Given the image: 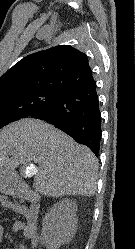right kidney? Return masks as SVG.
Wrapping results in <instances>:
<instances>
[{"mask_svg": "<svg viewBox=\"0 0 135 249\" xmlns=\"http://www.w3.org/2000/svg\"><path fill=\"white\" fill-rule=\"evenodd\" d=\"M77 206L67 198L56 203L42 222L41 243L47 249H59L77 230Z\"/></svg>", "mask_w": 135, "mask_h": 249, "instance_id": "1", "label": "right kidney"}]
</instances>
